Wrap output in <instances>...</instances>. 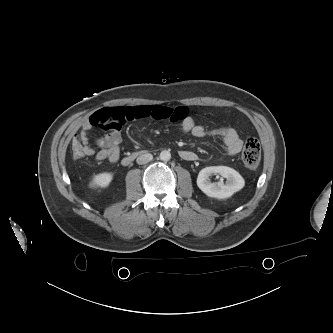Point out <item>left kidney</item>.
<instances>
[{
    "instance_id": "obj_1",
    "label": "left kidney",
    "mask_w": 333,
    "mask_h": 333,
    "mask_svg": "<svg viewBox=\"0 0 333 333\" xmlns=\"http://www.w3.org/2000/svg\"><path fill=\"white\" fill-rule=\"evenodd\" d=\"M220 174L226 178V184L222 180L211 183L210 176ZM245 185L243 177L234 169L227 166H210L202 169L197 178V186L209 197L225 199L241 190Z\"/></svg>"
}]
</instances>
